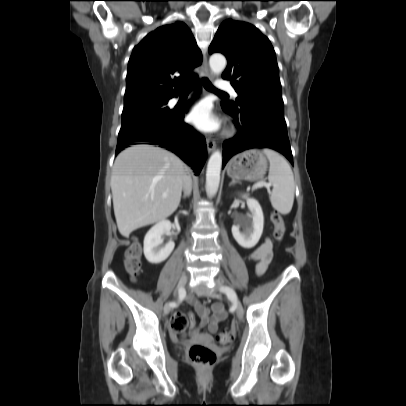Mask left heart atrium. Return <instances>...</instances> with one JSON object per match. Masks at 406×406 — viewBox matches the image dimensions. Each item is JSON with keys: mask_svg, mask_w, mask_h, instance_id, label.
I'll use <instances>...</instances> for the list:
<instances>
[{"mask_svg": "<svg viewBox=\"0 0 406 406\" xmlns=\"http://www.w3.org/2000/svg\"><path fill=\"white\" fill-rule=\"evenodd\" d=\"M189 121L203 132H214L220 127L219 119L212 113L211 107L206 102H200L189 112Z\"/></svg>", "mask_w": 406, "mask_h": 406, "instance_id": "39dd6f15", "label": "left heart atrium"}]
</instances>
